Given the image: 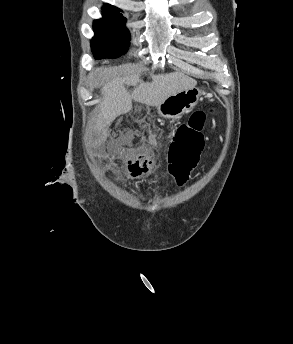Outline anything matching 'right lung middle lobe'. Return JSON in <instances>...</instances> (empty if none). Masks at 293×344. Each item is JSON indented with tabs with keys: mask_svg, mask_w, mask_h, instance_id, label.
Instances as JSON below:
<instances>
[{
	"mask_svg": "<svg viewBox=\"0 0 293 344\" xmlns=\"http://www.w3.org/2000/svg\"><path fill=\"white\" fill-rule=\"evenodd\" d=\"M103 19L93 25L95 37L91 48L96 59L117 58L126 53L130 35L125 27L126 19L118 10L103 9Z\"/></svg>",
	"mask_w": 293,
	"mask_h": 344,
	"instance_id": "right-lung-middle-lobe-1",
	"label": "right lung middle lobe"
}]
</instances>
